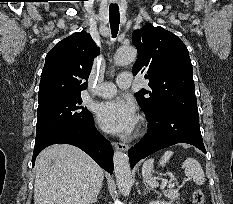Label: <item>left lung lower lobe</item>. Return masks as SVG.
Here are the masks:
<instances>
[{
	"label": "left lung lower lobe",
	"mask_w": 233,
	"mask_h": 204,
	"mask_svg": "<svg viewBox=\"0 0 233 204\" xmlns=\"http://www.w3.org/2000/svg\"><path fill=\"white\" fill-rule=\"evenodd\" d=\"M148 133L128 152L131 168L152 153L177 143H188L206 153L198 112L166 109L147 116Z\"/></svg>",
	"instance_id": "0a47b994"
}]
</instances>
